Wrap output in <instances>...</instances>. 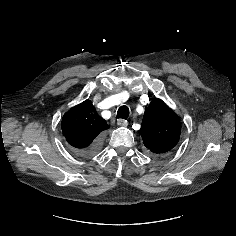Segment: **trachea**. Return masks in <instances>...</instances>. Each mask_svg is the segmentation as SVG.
<instances>
[{
  "mask_svg": "<svg viewBox=\"0 0 236 236\" xmlns=\"http://www.w3.org/2000/svg\"><path fill=\"white\" fill-rule=\"evenodd\" d=\"M129 116V108L127 106H121L117 111L118 119H127Z\"/></svg>",
  "mask_w": 236,
  "mask_h": 236,
  "instance_id": "1",
  "label": "trachea"
}]
</instances>
